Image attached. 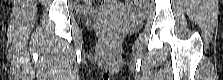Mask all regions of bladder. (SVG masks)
Returning a JSON list of instances; mask_svg holds the SVG:
<instances>
[{
  "label": "bladder",
  "instance_id": "obj_1",
  "mask_svg": "<svg viewBox=\"0 0 223 80\" xmlns=\"http://www.w3.org/2000/svg\"><path fill=\"white\" fill-rule=\"evenodd\" d=\"M108 10H116V9H113V8H108ZM114 12V11H113Z\"/></svg>",
  "mask_w": 223,
  "mask_h": 80
}]
</instances>
